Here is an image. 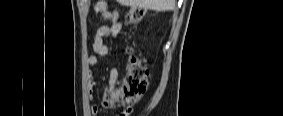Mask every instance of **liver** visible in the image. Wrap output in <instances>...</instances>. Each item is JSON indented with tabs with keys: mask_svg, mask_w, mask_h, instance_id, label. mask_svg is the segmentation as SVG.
Wrapping results in <instances>:
<instances>
[{
	"mask_svg": "<svg viewBox=\"0 0 283 116\" xmlns=\"http://www.w3.org/2000/svg\"><path fill=\"white\" fill-rule=\"evenodd\" d=\"M123 6H138L154 11H170L175 8V0H117Z\"/></svg>",
	"mask_w": 283,
	"mask_h": 116,
	"instance_id": "6515ba94",
	"label": "liver"
}]
</instances>
